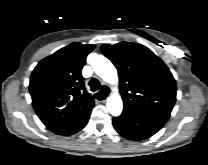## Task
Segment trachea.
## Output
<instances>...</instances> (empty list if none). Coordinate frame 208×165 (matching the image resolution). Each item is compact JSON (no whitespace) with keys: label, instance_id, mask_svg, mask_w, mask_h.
I'll return each instance as SVG.
<instances>
[{"label":"trachea","instance_id":"obj_1","mask_svg":"<svg viewBox=\"0 0 208 165\" xmlns=\"http://www.w3.org/2000/svg\"><path fill=\"white\" fill-rule=\"evenodd\" d=\"M89 86L90 89L95 92L100 88V82L97 79L92 78L89 82ZM108 92V89L103 87L98 93L95 94V98L98 100H104L107 97Z\"/></svg>","mask_w":208,"mask_h":165}]
</instances>
